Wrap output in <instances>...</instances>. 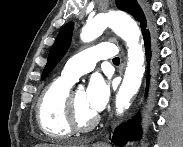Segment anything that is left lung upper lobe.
I'll return each mask as SVG.
<instances>
[{
    "label": "left lung upper lobe",
    "mask_w": 183,
    "mask_h": 147,
    "mask_svg": "<svg viewBox=\"0 0 183 147\" xmlns=\"http://www.w3.org/2000/svg\"><path fill=\"white\" fill-rule=\"evenodd\" d=\"M118 9L131 14L138 22H140L142 33L149 32L152 28V20L145 17L143 10L136 0H116ZM73 31V23L66 24L59 32L48 56L47 64L43 70L42 80L45 79L57 63L67 52Z\"/></svg>",
    "instance_id": "obj_1"
}]
</instances>
